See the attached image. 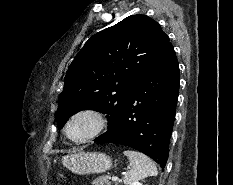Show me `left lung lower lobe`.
Here are the masks:
<instances>
[{"mask_svg": "<svg viewBox=\"0 0 233 185\" xmlns=\"http://www.w3.org/2000/svg\"><path fill=\"white\" fill-rule=\"evenodd\" d=\"M179 81L178 61L169 42L136 83L118 121L95 142L132 147L150 156L163 170L169 155Z\"/></svg>", "mask_w": 233, "mask_h": 185, "instance_id": "left-lung-lower-lobe-1", "label": "left lung lower lobe"}]
</instances>
